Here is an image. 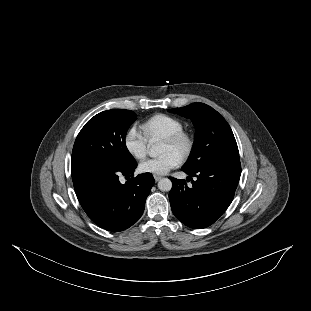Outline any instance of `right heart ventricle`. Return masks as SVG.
I'll return each instance as SVG.
<instances>
[{
	"instance_id": "right-heart-ventricle-1",
	"label": "right heart ventricle",
	"mask_w": 311,
	"mask_h": 311,
	"mask_svg": "<svg viewBox=\"0 0 311 311\" xmlns=\"http://www.w3.org/2000/svg\"><path fill=\"white\" fill-rule=\"evenodd\" d=\"M141 128L146 138L149 141H153L156 138L164 139L185 129V124L176 116L158 113L144 120L141 124Z\"/></svg>"
}]
</instances>
